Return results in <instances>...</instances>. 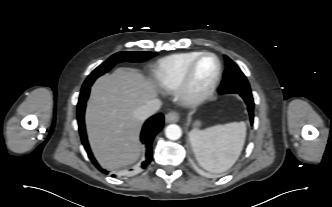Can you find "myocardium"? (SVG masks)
Returning <instances> with one entry per match:
<instances>
[{
	"label": "myocardium",
	"instance_id": "1",
	"mask_svg": "<svg viewBox=\"0 0 332 207\" xmlns=\"http://www.w3.org/2000/svg\"><path fill=\"white\" fill-rule=\"evenodd\" d=\"M212 57L215 59L217 68L211 83L203 90H197L194 87V74L199 62L205 57ZM222 74V65L219 58L211 52H203L197 56L188 66L183 79L178 87L179 100L189 106H194L208 100L215 92Z\"/></svg>",
	"mask_w": 332,
	"mask_h": 207
}]
</instances>
